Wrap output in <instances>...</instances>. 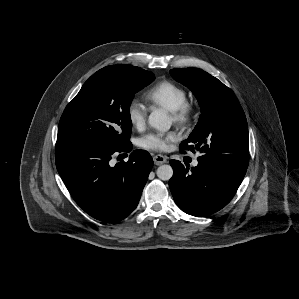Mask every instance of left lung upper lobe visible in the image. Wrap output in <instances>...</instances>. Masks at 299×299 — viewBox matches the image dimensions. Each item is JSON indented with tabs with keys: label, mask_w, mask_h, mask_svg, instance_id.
Wrapping results in <instances>:
<instances>
[{
	"label": "left lung upper lobe",
	"mask_w": 299,
	"mask_h": 299,
	"mask_svg": "<svg viewBox=\"0 0 299 299\" xmlns=\"http://www.w3.org/2000/svg\"><path fill=\"white\" fill-rule=\"evenodd\" d=\"M170 74L194 93L201 107L198 124L180 149L200 151L198 161L247 169L248 126L232 90L201 69L178 68Z\"/></svg>",
	"instance_id": "5c2ea615"
}]
</instances>
